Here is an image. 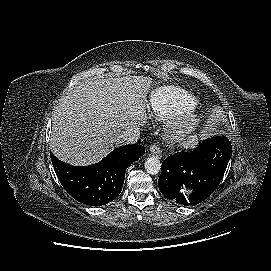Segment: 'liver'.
I'll use <instances>...</instances> for the list:
<instances>
[{"label": "liver", "instance_id": "liver-1", "mask_svg": "<svg viewBox=\"0 0 271 271\" xmlns=\"http://www.w3.org/2000/svg\"><path fill=\"white\" fill-rule=\"evenodd\" d=\"M147 76L88 78L71 88L54 109L50 148L60 160L84 166L100 161L123 131L147 121Z\"/></svg>", "mask_w": 271, "mask_h": 271}]
</instances>
